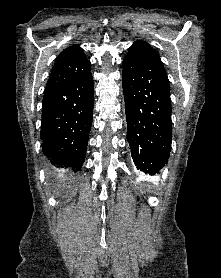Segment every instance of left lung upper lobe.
<instances>
[{
	"mask_svg": "<svg viewBox=\"0 0 221 278\" xmlns=\"http://www.w3.org/2000/svg\"><path fill=\"white\" fill-rule=\"evenodd\" d=\"M123 64H128L137 68L154 65L164 68L159 54L144 41H137L129 48L128 54L123 60Z\"/></svg>",
	"mask_w": 221,
	"mask_h": 278,
	"instance_id": "obj_1",
	"label": "left lung upper lobe"
}]
</instances>
